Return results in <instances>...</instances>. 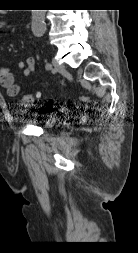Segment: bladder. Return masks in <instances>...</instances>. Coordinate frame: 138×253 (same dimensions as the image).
I'll list each match as a JSON object with an SVG mask.
<instances>
[{
    "label": "bladder",
    "mask_w": 138,
    "mask_h": 253,
    "mask_svg": "<svg viewBox=\"0 0 138 253\" xmlns=\"http://www.w3.org/2000/svg\"><path fill=\"white\" fill-rule=\"evenodd\" d=\"M57 122L58 120L56 118L50 117L41 122L36 123V125L44 129H50L54 127L57 124Z\"/></svg>",
    "instance_id": "1"
}]
</instances>
